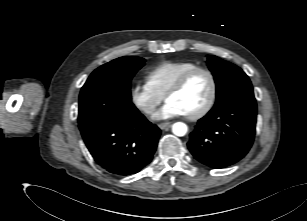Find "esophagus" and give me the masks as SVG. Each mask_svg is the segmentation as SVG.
Wrapping results in <instances>:
<instances>
[{
	"mask_svg": "<svg viewBox=\"0 0 307 221\" xmlns=\"http://www.w3.org/2000/svg\"><path fill=\"white\" fill-rule=\"evenodd\" d=\"M158 126H159L160 129H165V128L171 126V122L160 123Z\"/></svg>",
	"mask_w": 307,
	"mask_h": 221,
	"instance_id": "34e87169",
	"label": "esophagus"
}]
</instances>
